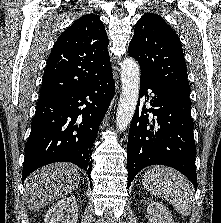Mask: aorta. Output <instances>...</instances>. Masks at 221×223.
Masks as SVG:
<instances>
[{
	"label": "aorta",
	"instance_id": "obj_1",
	"mask_svg": "<svg viewBox=\"0 0 221 223\" xmlns=\"http://www.w3.org/2000/svg\"><path fill=\"white\" fill-rule=\"evenodd\" d=\"M122 92L116 114V126L123 132L130 125L135 113L140 87V68L133 58H126L121 64Z\"/></svg>",
	"mask_w": 221,
	"mask_h": 223
}]
</instances>
